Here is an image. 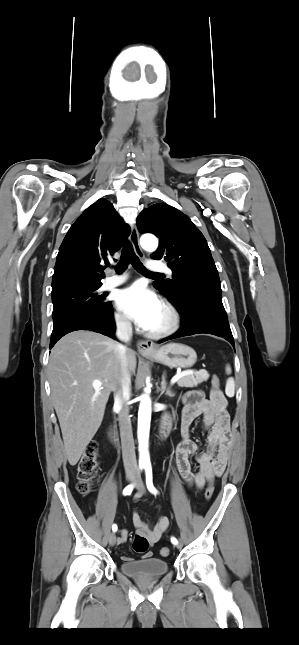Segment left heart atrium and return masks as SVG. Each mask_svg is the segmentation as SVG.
<instances>
[{
    "label": "left heart atrium",
    "mask_w": 299,
    "mask_h": 645,
    "mask_svg": "<svg viewBox=\"0 0 299 645\" xmlns=\"http://www.w3.org/2000/svg\"><path fill=\"white\" fill-rule=\"evenodd\" d=\"M116 305L146 330L151 328L162 310L160 299L140 283L121 290L117 295Z\"/></svg>",
    "instance_id": "left-heart-atrium-1"
}]
</instances>
